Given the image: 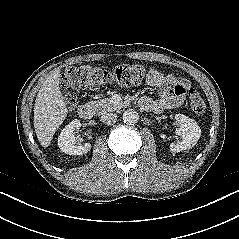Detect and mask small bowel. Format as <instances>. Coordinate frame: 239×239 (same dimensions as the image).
Returning a JSON list of instances; mask_svg holds the SVG:
<instances>
[{
    "label": "small bowel",
    "instance_id": "obj_1",
    "mask_svg": "<svg viewBox=\"0 0 239 239\" xmlns=\"http://www.w3.org/2000/svg\"><path fill=\"white\" fill-rule=\"evenodd\" d=\"M146 83L148 86L160 90L159 98L154 99L146 96L141 99L142 107L155 113L180 105L189 86L186 80L165 76L155 68L149 70Z\"/></svg>",
    "mask_w": 239,
    "mask_h": 239
}]
</instances>
